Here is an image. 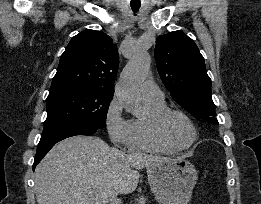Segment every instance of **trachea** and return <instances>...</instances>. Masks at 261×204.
<instances>
[{
  "mask_svg": "<svg viewBox=\"0 0 261 204\" xmlns=\"http://www.w3.org/2000/svg\"><path fill=\"white\" fill-rule=\"evenodd\" d=\"M131 8H132L133 12L136 13V12H138V10L140 8V4H137V5L131 4Z\"/></svg>",
  "mask_w": 261,
  "mask_h": 204,
  "instance_id": "1",
  "label": "trachea"
}]
</instances>
